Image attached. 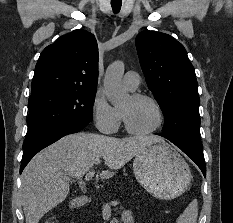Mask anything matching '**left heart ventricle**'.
<instances>
[{"instance_id": "b2bd125f", "label": "left heart ventricle", "mask_w": 233, "mask_h": 223, "mask_svg": "<svg viewBox=\"0 0 233 223\" xmlns=\"http://www.w3.org/2000/svg\"><path fill=\"white\" fill-rule=\"evenodd\" d=\"M129 126L137 132H147L159 123V116L155 106L146 100H134L129 97L120 107Z\"/></svg>"}]
</instances>
